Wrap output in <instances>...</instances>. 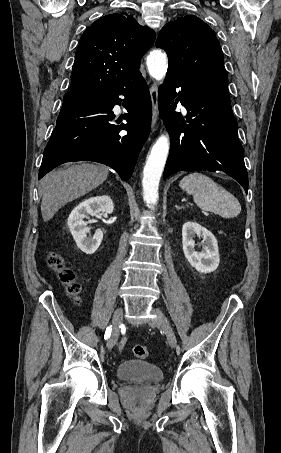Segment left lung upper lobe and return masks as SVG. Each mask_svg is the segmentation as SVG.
Here are the masks:
<instances>
[{"instance_id": "obj_1", "label": "left lung upper lobe", "mask_w": 281, "mask_h": 453, "mask_svg": "<svg viewBox=\"0 0 281 453\" xmlns=\"http://www.w3.org/2000/svg\"><path fill=\"white\" fill-rule=\"evenodd\" d=\"M156 47L166 51L168 72L191 84L228 86L224 58L214 31L194 15L167 23Z\"/></svg>"}]
</instances>
